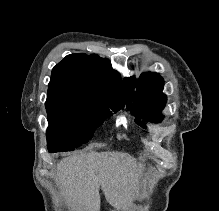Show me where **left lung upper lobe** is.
I'll list each match as a JSON object with an SVG mask.
<instances>
[{"label": "left lung upper lobe", "instance_id": "obj_1", "mask_svg": "<svg viewBox=\"0 0 219 211\" xmlns=\"http://www.w3.org/2000/svg\"><path fill=\"white\" fill-rule=\"evenodd\" d=\"M163 85V78L157 73H144L137 80L134 76L124 79L125 101L127 108L136 116V122L140 118L152 122H159L162 119L157 112L165 107L167 101L162 93ZM135 87L136 92H134Z\"/></svg>", "mask_w": 219, "mask_h": 211}]
</instances>
